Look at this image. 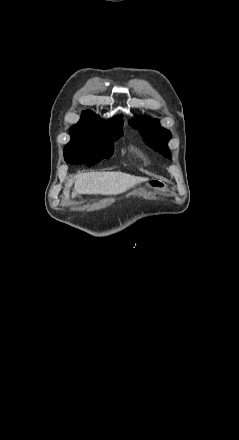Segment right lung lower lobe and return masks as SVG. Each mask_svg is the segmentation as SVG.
<instances>
[{
    "label": "right lung lower lobe",
    "instance_id": "1",
    "mask_svg": "<svg viewBox=\"0 0 239 440\" xmlns=\"http://www.w3.org/2000/svg\"><path fill=\"white\" fill-rule=\"evenodd\" d=\"M113 154L92 147H80L64 151L65 161L69 164H86L92 166Z\"/></svg>",
    "mask_w": 239,
    "mask_h": 440
}]
</instances>
